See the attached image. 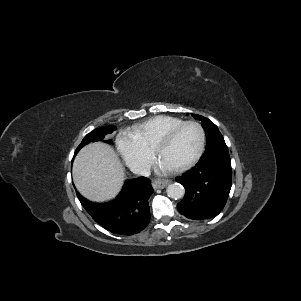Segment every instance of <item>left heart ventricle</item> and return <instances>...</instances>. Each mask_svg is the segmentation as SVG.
<instances>
[{
	"instance_id": "left-heart-ventricle-1",
	"label": "left heart ventricle",
	"mask_w": 301,
	"mask_h": 301,
	"mask_svg": "<svg viewBox=\"0 0 301 301\" xmlns=\"http://www.w3.org/2000/svg\"><path fill=\"white\" fill-rule=\"evenodd\" d=\"M199 145V131L194 125L183 127L168 143L158 148L161 161L174 167L190 160Z\"/></svg>"
}]
</instances>
